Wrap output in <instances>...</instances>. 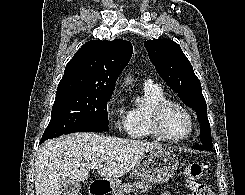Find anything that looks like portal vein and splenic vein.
<instances>
[{
	"instance_id": "1",
	"label": "portal vein and splenic vein",
	"mask_w": 245,
	"mask_h": 195,
	"mask_svg": "<svg viewBox=\"0 0 245 195\" xmlns=\"http://www.w3.org/2000/svg\"><path fill=\"white\" fill-rule=\"evenodd\" d=\"M102 167H103V165H96V166H95V168H96L97 170L102 169Z\"/></svg>"
}]
</instances>
